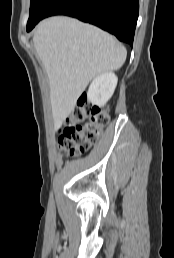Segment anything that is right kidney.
<instances>
[{"mask_svg": "<svg viewBox=\"0 0 174 258\" xmlns=\"http://www.w3.org/2000/svg\"><path fill=\"white\" fill-rule=\"evenodd\" d=\"M117 81V76L112 72L102 73L95 77L87 92L88 101L99 107L104 106L112 97Z\"/></svg>", "mask_w": 174, "mask_h": 258, "instance_id": "1", "label": "right kidney"}]
</instances>
